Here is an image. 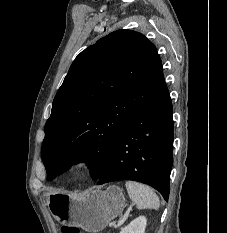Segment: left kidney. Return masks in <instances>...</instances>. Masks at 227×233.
Listing matches in <instances>:
<instances>
[{"label": "left kidney", "mask_w": 227, "mask_h": 233, "mask_svg": "<svg viewBox=\"0 0 227 233\" xmlns=\"http://www.w3.org/2000/svg\"><path fill=\"white\" fill-rule=\"evenodd\" d=\"M146 225L147 219L144 216H139L122 228L120 233H145Z\"/></svg>", "instance_id": "left-kidney-1"}]
</instances>
